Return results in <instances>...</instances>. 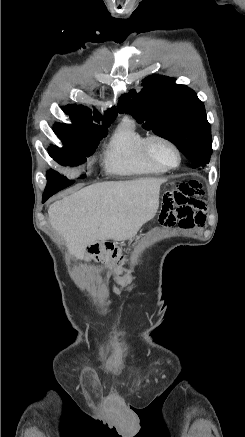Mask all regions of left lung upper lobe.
<instances>
[{
  "instance_id": "5c2ea615",
  "label": "left lung upper lobe",
  "mask_w": 245,
  "mask_h": 437,
  "mask_svg": "<svg viewBox=\"0 0 245 437\" xmlns=\"http://www.w3.org/2000/svg\"><path fill=\"white\" fill-rule=\"evenodd\" d=\"M143 85L138 94L132 89L121 96L118 111L131 114L143 128L175 144L193 168L208 164L212 153L211 127L196 93L175 84L174 78L161 75L145 78Z\"/></svg>"
}]
</instances>
